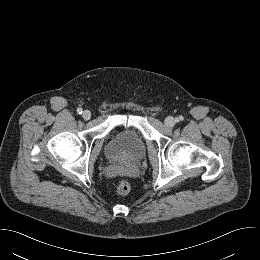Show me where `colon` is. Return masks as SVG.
I'll return each instance as SVG.
<instances>
[{
  "instance_id": "5ec220e1",
  "label": "colon",
  "mask_w": 260,
  "mask_h": 260,
  "mask_svg": "<svg viewBox=\"0 0 260 260\" xmlns=\"http://www.w3.org/2000/svg\"><path fill=\"white\" fill-rule=\"evenodd\" d=\"M131 190V185L127 180H120L116 186V193L120 196L127 195Z\"/></svg>"
}]
</instances>
